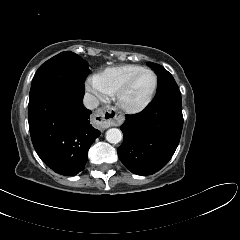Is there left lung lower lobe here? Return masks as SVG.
<instances>
[{
  "instance_id": "1",
  "label": "left lung lower lobe",
  "mask_w": 240,
  "mask_h": 240,
  "mask_svg": "<svg viewBox=\"0 0 240 240\" xmlns=\"http://www.w3.org/2000/svg\"><path fill=\"white\" fill-rule=\"evenodd\" d=\"M183 127L181 98L153 100L140 113L126 115L118 157L137 175H151L173 156Z\"/></svg>"
}]
</instances>
